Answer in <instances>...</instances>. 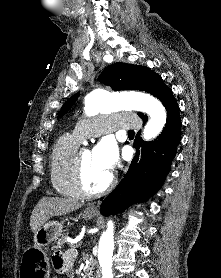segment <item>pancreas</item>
Listing matches in <instances>:
<instances>
[{"instance_id": "cf45deb5", "label": "pancreas", "mask_w": 221, "mask_h": 278, "mask_svg": "<svg viewBox=\"0 0 221 278\" xmlns=\"http://www.w3.org/2000/svg\"><path fill=\"white\" fill-rule=\"evenodd\" d=\"M65 244H67V239H66V236H63V237H61V238H59L58 240H57V245H56V247L58 248H60V247H63ZM72 246H76V245H72Z\"/></svg>"}]
</instances>
